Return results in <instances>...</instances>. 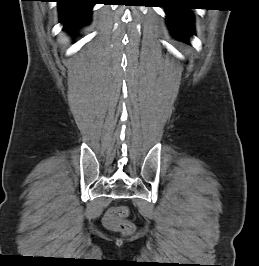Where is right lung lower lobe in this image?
<instances>
[{
  "mask_svg": "<svg viewBox=\"0 0 259 266\" xmlns=\"http://www.w3.org/2000/svg\"><path fill=\"white\" fill-rule=\"evenodd\" d=\"M96 2L97 0H58L64 27L68 31L74 32L78 26L87 23Z\"/></svg>",
  "mask_w": 259,
  "mask_h": 266,
  "instance_id": "obj_1",
  "label": "right lung lower lobe"
}]
</instances>
